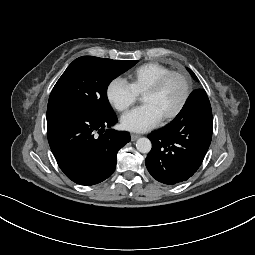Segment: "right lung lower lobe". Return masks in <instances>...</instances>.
I'll list each match as a JSON object with an SVG mask.
<instances>
[{"instance_id":"98d812e1","label":"right lung lower lobe","mask_w":255,"mask_h":255,"mask_svg":"<svg viewBox=\"0 0 255 255\" xmlns=\"http://www.w3.org/2000/svg\"><path fill=\"white\" fill-rule=\"evenodd\" d=\"M116 123L115 114L105 117L72 106L47 108L48 142L70 180L94 185L112 175L118 151L130 141L129 133L110 129Z\"/></svg>"}]
</instances>
